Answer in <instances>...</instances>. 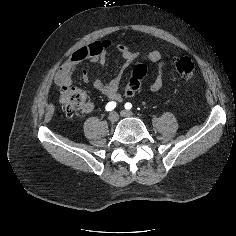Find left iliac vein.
Segmentation results:
<instances>
[{
  "instance_id": "4c4485c4",
  "label": "left iliac vein",
  "mask_w": 236,
  "mask_h": 236,
  "mask_svg": "<svg viewBox=\"0 0 236 236\" xmlns=\"http://www.w3.org/2000/svg\"><path fill=\"white\" fill-rule=\"evenodd\" d=\"M121 116L123 117H132L133 116V113L131 111H128V110H122L120 112Z\"/></svg>"
}]
</instances>
